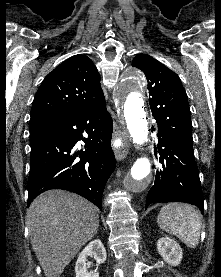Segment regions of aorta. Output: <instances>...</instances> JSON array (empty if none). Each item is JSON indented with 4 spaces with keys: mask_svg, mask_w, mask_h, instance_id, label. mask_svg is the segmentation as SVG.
<instances>
[{
    "mask_svg": "<svg viewBox=\"0 0 221 277\" xmlns=\"http://www.w3.org/2000/svg\"><path fill=\"white\" fill-rule=\"evenodd\" d=\"M143 88L144 77L141 71L128 68L124 71L116 89L127 130L137 145H143L148 139ZM151 180V162L147 157H140L133 163L126 177V190L133 193L144 191Z\"/></svg>",
    "mask_w": 221,
    "mask_h": 277,
    "instance_id": "1",
    "label": "aorta"
}]
</instances>
